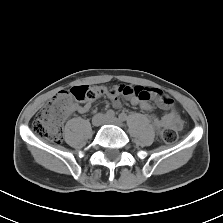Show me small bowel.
<instances>
[{
	"label": "small bowel",
	"instance_id": "small-bowel-1",
	"mask_svg": "<svg viewBox=\"0 0 223 223\" xmlns=\"http://www.w3.org/2000/svg\"><path fill=\"white\" fill-rule=\"evenodd\" d=\"M122 87L132 89L129 86L121 85ZM99 89V88H98ZM123 94L127 100L132 105H138L141 109L145 111H151L153 109V105L147 100V101H140L137 97H135L133 94L126 93V92H115L109 94V99L115 108L121 107V101L119 99L118 94ZM151 96L155 103L160 107L166 110V112L161 116H151L152 124L154 127L158 130L162 129L165 126H174L177 129L182 128L183 122L175 109L173 102L171 98L165 94H162L158 89H150ZM79 113L84 114L87 113L91 109V103L88 102L81 106H76L74 108Z\"/></svg>",
	"mask_w": 223,
	"mask_h": 223
}]
</instances>
